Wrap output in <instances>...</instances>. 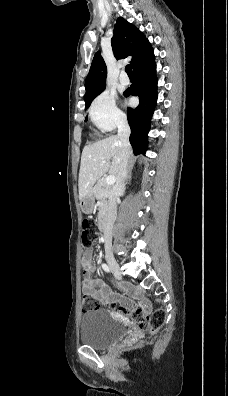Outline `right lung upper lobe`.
<instances>
[{
    "instance_id": "cb5924a9",
    "label": "right lung upper lobe",
    "mask_w": 228,
    "mask_h": 396,
    "mask_svg": "<svg viewBox=\"0 0 228 396\" xmlns=\"http://www.w3.org/2000/svg\"><path fill=\"white\" fill-rule=\"evenodd\" d=\"M111 45L116 59H124L128 56H132L130 65L133 69L152 48L142 32L121 17L117 19L115 24ZM106 75V64L100 52H97L85 80V103L95 94L104 90Z\"/></svg>"
}]
</instances>
